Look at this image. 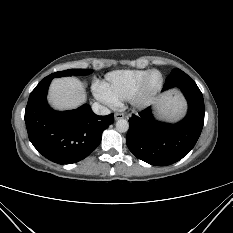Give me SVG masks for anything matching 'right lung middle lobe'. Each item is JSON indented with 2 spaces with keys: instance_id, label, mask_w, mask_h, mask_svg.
I'll list each match as a JSON object with an SVG mask.
<instances>
[{
  "instance_id": "dd1d6c3e",
  "label": "right lung middle lobe",
  "mask_w": 233,
  "mask_h": 233,
  "mask_svg": "<svg viewBox=\"0 0 233 233\" xmlns=\"http://www.w3.org/2000/svg\"><path fill=\"white\" fill-rule=\"evenodd\" d=\"M92 72L93 70L91 69H68L53 73L52 75L56 77H63V76H71V75H88Z\"/></svg>"
}]
</instances>
